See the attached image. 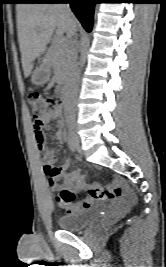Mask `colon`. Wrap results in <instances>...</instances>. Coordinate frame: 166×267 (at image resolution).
<instances>
[{
  "mask_svg": "<svg viewBox=\"0 0 166 267\" xmlns=\"http://www.w3.org/2000/svg\"><path fill=\"white\" fill-rule=\"evenodd\" d=\"M28 100L32 108L34 122L37 125L38 141L42 146L45 141L42 118L46 114L53 112L57 107V103L53 98L39 92H31L28 96ZM44 171L46 175L51 178L57 175L56 168L49 161L45 162ZM59 196L66 203H71L74 200V194L69 190H62Z\"/></svg>",
  "mask_w": 166,
  "mask_h": 267,
  "instance_id": "colon-1",
  "label": "colon"
}]
</instances>
